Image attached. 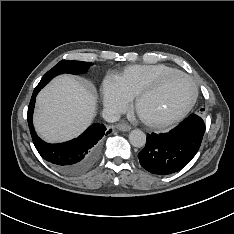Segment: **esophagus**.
<instances>
[{
	"instance_id": "34e87169",
	"label": "esophagus",
	"mask_w": 234,
	"mask_h": 234,
	"mask_svg": "<svg viewBox=\"0 0 234 234\" xmlns=\"http://www.w3.org/2000/svg\"><path fill=\"white\" fill-rule=\"evenodd\" d=\"M117 129L123 132H127L131 130V126L126 123H118L116 125Z\"/></svg>"
}]
</instances>
